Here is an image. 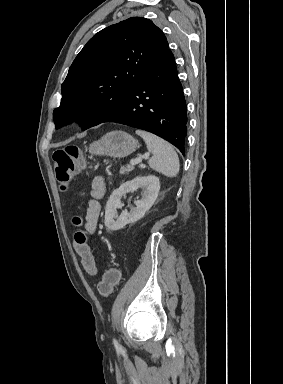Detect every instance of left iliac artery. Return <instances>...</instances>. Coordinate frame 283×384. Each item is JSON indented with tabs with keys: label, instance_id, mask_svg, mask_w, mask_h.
<instances>
[{
	"label": "left iliac artery",
	"instance_id": "44dca946",
	"mask_svg": "<svg viewBox=\"0 0 283 384\" xmlns=\"http://www.w3.org/2000/svg\"><path fill=\"white\" fill-rule=\"evenodd\" d=\"M113 344H114L116 349H121L120 344L118 343V341L115 338L113 339Z\"/></svg>",
	"mask_w": 283,
	"mask_h": 384
}]
</instances>
